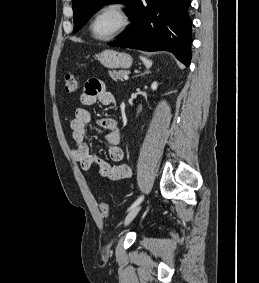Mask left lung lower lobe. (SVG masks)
Listing matches in <instances>:
<instances>
[{
  "label": "left lung lower lobe",
  "mask_w": 259,
  "mask_h": 283,
  "mask_svg": "<svg viewBox=\"0 0 259 283\" xmlns=\"http://www.w3.org/2000/svg\"><path fill=\"white\" fill-rule=\"evenodd\" d=\"M135 0L130 13L132 24L112 47L145 51L167 50L185 65L191 60L190 0Z\"/></svg>",
  "instance_id": "1"
}]
</instances>
